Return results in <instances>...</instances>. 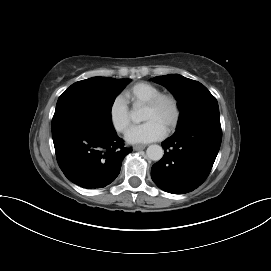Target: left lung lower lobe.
Wrapping results in <instances>:
<instances>
[{
    "label": "left lung lower lobe",
    "instance_id": "1",
    "mask_svg": "<svg viewBox=\"0 0 271 271\" xmlns=\"http://www.w3.org/2000/svg\"><path fill=\"white\" fill-rule=\"evenodd\" d=\"M221 140L220 119L197 120L177 128L162 143L165 155L152 166V180L172 194L193 191L210 173Z\"/></svg>",
    "mask_w": 271,
    "mask_h": 271
}]
</instances>
